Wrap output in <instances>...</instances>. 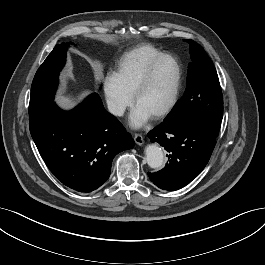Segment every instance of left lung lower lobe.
Listing matches in <instances>:
<instances>
[{"mask_svg": "<svg viewBox=\"0 0 265 265\" xmlns=\"http://www.w3.org/2000/svg\"><path fill=\"white\" fill-rule=\"evenodd\" d=\"M169 153L162 171L148 173L159 188L178 190L190 183L206 166L216 145V137L206 126L193 120L162 122L148 133Z\"/></svg>", "mask_w": 265, "mask_h": 265, "instance_id": "0a47b994", "label": "left lung lower lobe"}]
</instances>
